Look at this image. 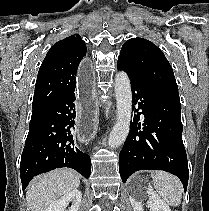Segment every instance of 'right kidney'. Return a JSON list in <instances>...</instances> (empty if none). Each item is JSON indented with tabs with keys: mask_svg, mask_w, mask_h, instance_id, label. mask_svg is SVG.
Here are the masks:
<instances>
[{
	"mask_svg": "<svg viewBox=\"0 0 209 211\" xmlns=\"http://www.w3.org/2000/svg\"><path fill=\"white\" fill-rule=\"evenodd\" d=\"M81 199L82 193L75 189L63 195L59 200L54 201L45 211H65L70 202L72 205L68 211H78Z\"/></svg>",
	"mask_w": 209,
	"mask_h": 211,
	"instance_id": "1",
	"label": "right kidney"
}]
</instances>
